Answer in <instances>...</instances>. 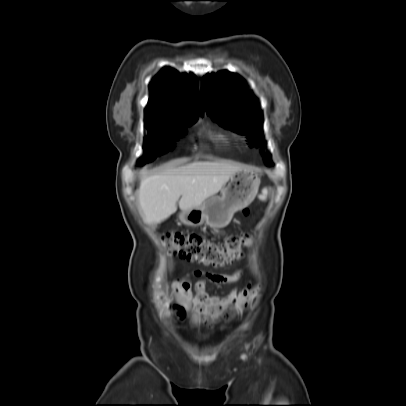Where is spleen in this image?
I'll return each instance as SVG.
<instances>
[{
	"instance_id": "1",
	"label": "spleen",
	"mask_w": 406,
	"mask_h": 406,
	"mask_svg": "<svg viewBox=\"0 0 406 406\" xmlns=\"http://www.w3.org/2000/svg\"><path fill=\"white\" fill-rule=\"evenodd\" d=\"M266 194H267V190H266V189H264V190H263V196L265 197V196H266Z\"/></svg>"
}]
</instances>
